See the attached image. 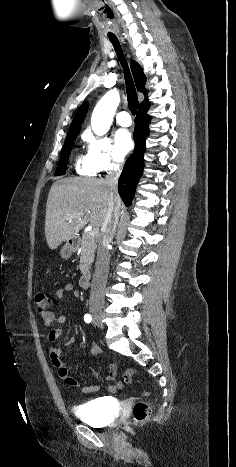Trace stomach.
<instances>
[{
    "label": "stomach",
    "mask_w": 236,
    "mask_h": 467,
    "mask_svg": "<svg viewBox=\"0 0 236 467\" xmlns=\"http://www.w3.org/2000/svg\"><path fill=\"white\" fill-rule=\"evenodd\" d=\"M74 251H75V247L70 243H66L60 250V255L62 258L68 259L71 257Z\"/></svg>",
    "instance_id": "1"
}]
</instances>
